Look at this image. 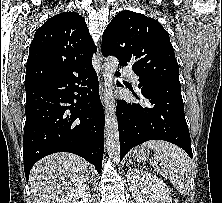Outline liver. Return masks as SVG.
I'll use <instances>...</instances> for the list:
<instances>
[{
	"label": "liver",
	"instance_id": "6515ba94",
	"mask_svg": "<svg viewBox=\"0 0 222 203\" xmlns=\"http://www.w3.org/2000/svg\"><path fill=\"white\" fill-rule=\"evenodd\" d=\"M89 176V163L77 155L61 152L46 156L30 171L34 203H61L68 192L85 183Z\"/></svg>",
	"mask_w": 222,
	"mask_h": 203
}]
</instances>
